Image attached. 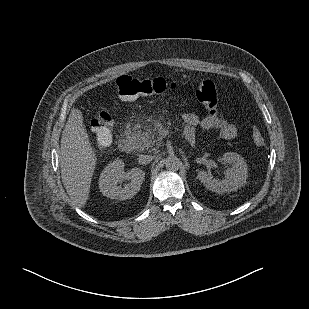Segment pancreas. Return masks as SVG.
<instances>
[{"mask_svg": "<svg viewBox=\"0 0 309 309\" xmlns=\"http://www.w3.org/2000/svg\"><path fill=\"white\" fill-rule=\"evenodd\" d=\"M135 141L139 151H145L151 148L157 150L162 144V136L153 130L136 132Z\"/></svg>", "mask_w": 309, "mask_h": 309, "instance_id": "1", "label": "pancreas"}]
</instances>
